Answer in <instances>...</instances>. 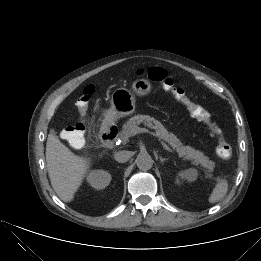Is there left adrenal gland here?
<instances>
[{"label": "left adrenal gland", "mask_w": 261, "mask_h": 261, "mask_svg": "<svg viewBox=\"0 0 261 261\" xmlns=\"http://www.w3.org/2000/svg\"><path fill=\"white\" fill-rule=\"evenodd\" d=\"M160 160H161V162L162 163H164V161L166 160L165 158H162V157H160Z\"/></svg>", "instance_id": "left-adrenal-gland-1"}]
</instances>
